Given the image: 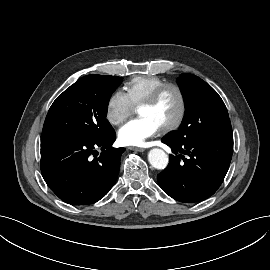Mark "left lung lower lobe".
<instances>
[{
  "label": "left lung lower lobe",
  "instance_id": "left-lung-lower-lobe-1",
  "mask_svg": "<svg viewBox=\"0 0 270 270\" xmlns=\"http://www.w3.org/2000/svg\"><path fill=\"white\" fill-rule=\"evenodd\" d=\"M174 154L169 155L168 167L158 174L162 190L170 197L186 203L199 202L212 196L228 171L233 138L193 136L183 143L168 137L162 140ZM180 158L183 162H180Z\"/></svg>",
  "mask_w": 270,
  "mask_h": 270
}]
</instances>
